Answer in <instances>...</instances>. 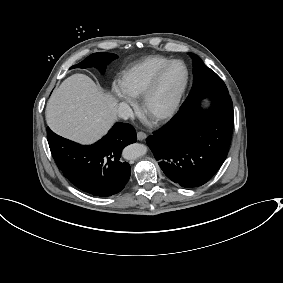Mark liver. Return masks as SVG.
Here are the masks:
<instances>
[{
    "label": "liver",
    "mask_w": 283,
    "mask_h": 283,
    "mask_svg": "<svg viewBox=\"0 0 283 283\" xmlns=\"http://www.w3.org/2000/svg\"><path fill=\"white\" fill-rule=\"evenodd\" d=\"M117 103L104 95L88 76L67 78L52 95L47 111L48 126L58 135L90 143L116 119Z\"/></svg>",
    "instance_id": "1"
}]
</instances>
